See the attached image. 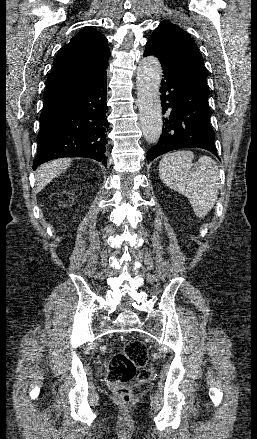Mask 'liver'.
I'll use <instances>...</instances> for the list:
<instances>
[{
    "instance_id": "liver-1",
    "label": "liver",
    "mask_w": 257,
    "mask_h": 439,
    "mask_svg": "<svg viewBox=\"0 0 257 439\" xmlns=\"http://www.w3.org/2000/svg\"><path fill=\"white\" fill-rule=\"evenodd\" d=\"M70 159H57L40 166L36 172V192H40L53 178L65 171Z\"/></svg>"
}]
</instances>
